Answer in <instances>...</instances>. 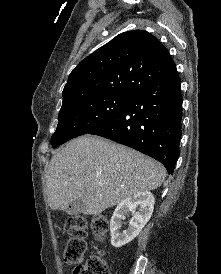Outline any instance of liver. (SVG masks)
Wrapping results in <instances>:
<instances>
[{"label": "liver", "instance_id": "6515ba94", "mask_svg": "<svg viewBox=\"0 0 221 274\" xmlns=\"http://www.w3.org/2000/svg\"><path fill=\"white\" fill-rule=\"evenodd\" d=\"M165 177V168L156 160L85 135L52 157L46 173L48 204L53 210H66L81 199L85 215H99L139 192L157 189Z\"/></svg>", "mask_w": 221, "mask_h": 274}]
</instances>
